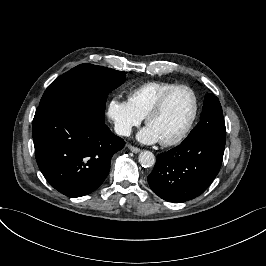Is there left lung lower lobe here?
<instances>
[{
    "label": "left lung lower lobe",
    "instance_id": "0a47b994",
    "mask_svg": "<svg viewBox=\"0 0 266 266\" xmlns=\"http://www.w3.org/2000/svg\"><path fill=\"white\" fill-rule=\"evenodd\" d=\"M225 141V136L199 135L157 155L148 176L150 188L170 202H185L199 196L220 170Z\"/></svg>",
    "mask_w": 266,
    "mask_h": 266
}]
</instances>
